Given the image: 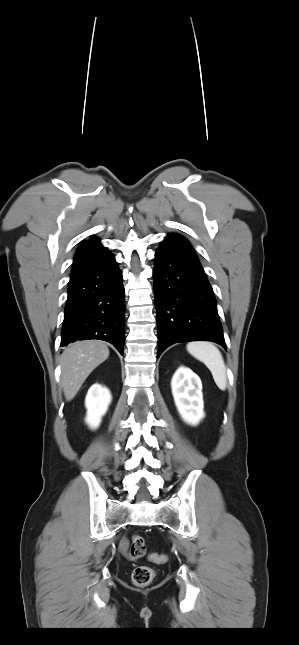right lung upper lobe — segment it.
Returning <instances> with one entry per match:
<instances>
[{"mask_svg":"<svg viewBox=\"0 0 299 645\" xmlns=\"http://www.w3.org/2000/svg\"><path fill=\"white\" fill-rule=\"evenodd\" d=\"M107 248L103 247L96 237L84 241L78 247L72 264V273L84 268L87 265L103 260L110 256Z\"/></svg>","mask_w":299,"mask_h":645,"instance_id":"cb5924a9","label":"right lung upper lobe"}]
</instances>
